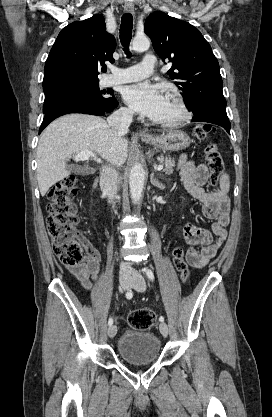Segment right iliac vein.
<instances>
[{
	"instance_id": "right-iliac-vein-1",
	"label": "right iliac vein",
	"mask_w": 272,
	"mask_h": 417,
	"mask_svg": "<svg viewBox=\"0 0 272 417\" xmlns=\"http://www.w3.org/2000/svg\"><path fill=\"white\" fill-rule=\"evenodd\" d=\"M132 284V279L130 277H122L120 278V285L122 289L128 290ZM117 333V327L115 325H111L108 329V335L110 338H113Z\"/></svg>"
}]
</instances>
